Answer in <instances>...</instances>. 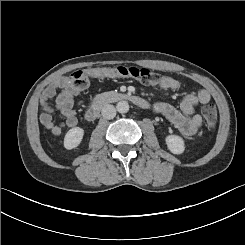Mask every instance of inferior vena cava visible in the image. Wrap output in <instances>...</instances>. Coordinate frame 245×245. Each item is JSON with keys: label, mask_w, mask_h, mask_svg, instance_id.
I'll return each mask as SVG.
<instances>
[{"label": "inferior vena cava", "mask_w": 245, "mask_h": 245, "mask_svg": "<svg viewBox=\"0 0 245 245\" xmlns=\"http://www.w3.org/2000/svg\"><path fill=\"white\" fill-rule=\"evenodd\" d=\"M101 114L106 119H113L116 116V108L111 104H107L102 108Z\"/></svg>", "instance_id": "1"}]
</instances>
